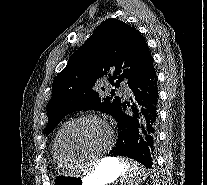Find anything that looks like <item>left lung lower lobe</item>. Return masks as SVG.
<instances>
[{
  "mask_svg": "<svg viewBox=\"0 0 207 185\" xmlns=\"http://www.w3.org/2000/svg\"><path fill=\"white\" fill-rule=\"evenodd\" d=\"M131 102L123 101L115 119L118 139L107 156H124L151 168L158 132V83L154 65L130 84Z\"/></svg>",
  "mask_w": 207,
  "mask_h": 185,
  "instance_id": "left-lung-lower-lobe-1",
  "label": "left lung lower lobe"
}]
</instances>
